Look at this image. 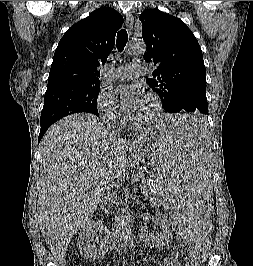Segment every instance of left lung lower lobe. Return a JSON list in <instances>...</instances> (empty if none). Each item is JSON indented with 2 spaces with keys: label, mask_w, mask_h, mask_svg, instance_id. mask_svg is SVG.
<instances>
[{
  "label": "left lung lower lobe",
  "mask_w": 253,
  "mask_h": 266,
  "mask_svg": "<svg viewBox=\"0 0 253 266\" xmlns=\"http://www.w3.org/2000/svg\"><path fill=\"white\" fill-rule=\"evenodd\" d=\"M180 112H189L194 116H199V109L195 104L187 103L181 106ZM203 126V121L200 119H192V129H201Z\"/></svg>",
  "instance_id": "1"
}]
</instances>
